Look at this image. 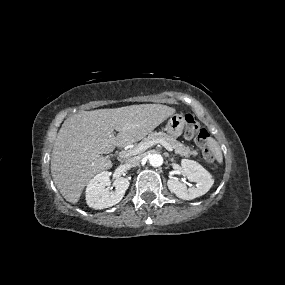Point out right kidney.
<instances>
[{"mask_svg":"<svg viewBox=\"0 0 285 285\" xmlns=\"http://www.w3.org/2000/svg\"><path fill=\"white\" fill-rule=\"evenodd\" d=\"M110 173L102 171L93 177L86 188L87 205L93 209H104L118 204L129 187V181L120 177L113 182L114 191H109Z\"/></svg>","mask_w":285,"mask_h":285,"instance_id":"obj_1","label":"right kidney"}]
</instances>
